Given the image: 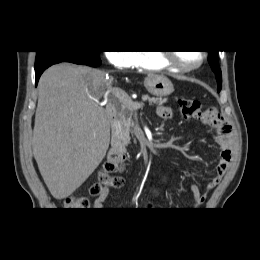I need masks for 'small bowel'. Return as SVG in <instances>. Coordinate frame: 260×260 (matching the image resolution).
I'll use <instances>...</instances> for the list:
<instances>
[{
  "label": "small bowel",
  "mask_w": 260,
  "mask_h": 260,
  "mask_svg": "<svg viewBox=\"0 0 260 260\" xmlns=\"http://www.w3.org/2000/svg\"><path fill=\"white\" fill-rule=\"evenodd\" d=\"M157 114L163 119H171L173 116V109L170 106H160L157 109ZM197 119L215 129V139L220 148V160L216 166L214 176L206 185L205 192H201L196 184L191 185V191L193 194V201L191 204L192 209L199 208L205 202L208 192L213 190L221 181L230 166L233 146L232 127L216 111H205ZM108 195L109 190L106 189L102 195L96 197L93 202V208L96 210L102 209Z\"/></svg>",
  "instance_id": "small-bowel-1"
}]
</instances>
